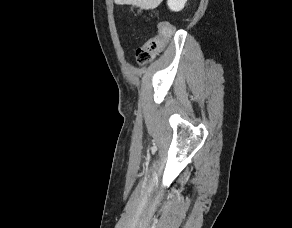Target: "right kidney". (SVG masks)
Returning <instances> with one entry per match:
<instances>
[{
  "label": "right kidney",
  "mask_w": 292,
  "mask_h": 228,
  "mask_svg": "<svg viewBox=\"0 0 292 228\" xmlns=\"http://www.w3.org/2000/svg\"><path fill=\"white\" fill-rule=\"evenodd\" d=\"M187 0H168L167 4L170 10L178 12L181 11Z\"/></svg>",
  "instance_id": "ca27d5eb"
}]
</instances>
